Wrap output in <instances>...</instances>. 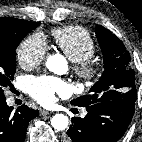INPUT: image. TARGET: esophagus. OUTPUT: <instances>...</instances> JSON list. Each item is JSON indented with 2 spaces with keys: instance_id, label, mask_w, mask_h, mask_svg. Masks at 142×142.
I'll return each instance as SVG.
<instances>
[{
  "instance_id": "obj_1",
  "label": "esophagus",
  "mask_w": 142,
  "mask_h": 142,
  "mask_svg": "<svg viewBox=\"0 0 142 142\" xmlns=\"http://www.w3.org/2000/svg\"><path fill=\"white\" fill-rule=\"evenodd\" d=\"M49 114H51V112L50 111H47V110H40V115H42V116H45V115H49Z\"/></svg>"
}]
</instances>
